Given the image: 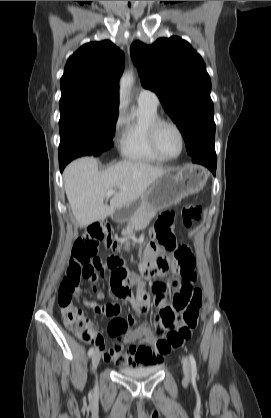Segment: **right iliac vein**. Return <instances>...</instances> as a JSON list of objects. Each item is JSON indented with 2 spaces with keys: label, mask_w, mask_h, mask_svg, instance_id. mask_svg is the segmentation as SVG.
<instances>
[{
  "label": "right iliac vein",
  "mask_w": 271,
  "mask_h": 418,
  "mask_svg": "<svg viewBox=\"0 0 271 418\" xmlns=\"http://www.w3.org/2000/svg\"><path fill=\"white\" fill-rule=\"evenodd\" d=\"M100 357H101V355H100L99 351L94 352V354L92 356V367H93L94 370L97 369V366L100 362Z\"/></svg>",
  "instance_id": "obj_1"
}]
</instances>
